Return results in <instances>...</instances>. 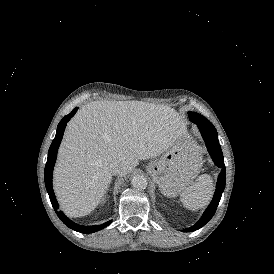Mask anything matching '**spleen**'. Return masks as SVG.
I'll return each mask as SVG.
<instances>
[{
	"label": "spleen",
	"instance_id": "obj_1",
	"mask_svg": "<svg viewBox=\"0 0 274 274\" xmlns=\"http://www.w3.org/2000/svg\"><path fill=\"white\" fill-rule=\"evenodd\" d=\"M195 147L200 150V147L195 144ZM201 159V156H198ZM214 193L213 180L210 175L202 174L189 187H187L181 194L180 200L183 206L196 210L207 206L212 199Z\"/></svg>",
	"mask_w": 274,
	"mask_h": 274
}]
</instances>
